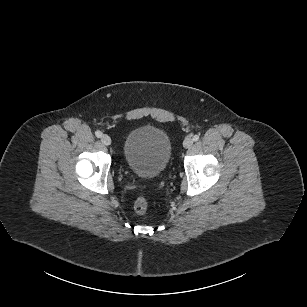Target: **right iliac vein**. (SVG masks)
Listing matches in <instances>:
<instances>
[{
  "label": "right iliac vein",
  "instance_id": "1",
  "mask_svg": "<svg viewBox=\"0 0 307 307\" xmlns=\"http://www.w3.org/2000/svg\"><path fill=\"white\" fill-rule=\"evenodd\" d=\"M101 142L105 145V146H109L111 144V138L108 135H102L101 136Z\"/></svg>",
  "mask_w": 307,
  "mask_h": 307
}]
</instances>
